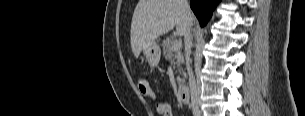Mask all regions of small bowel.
<instances>
[{
    "instance_id": "obj_1",
    "label": "small bowel",
    "mask_w": 305,
    "mask_h": 116,
    "mask_svg": "<svg viewBox=\"0 0 305 116\" xmlns=\"http://www.w3.org/2000/svg\"><path fill=\"white\" fill-rule=\"evenodd\" d=\"M156 109L160 116H173L169 105L163 99H159Z\"/></svg>"
}]
</instances>
